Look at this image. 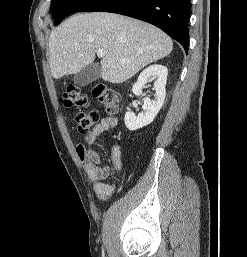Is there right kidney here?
Masks as SVG:
<instances>
[{
  "instance_id": "1",
  "label": "right kidney",
  "mask_w": 247,
  "mask_h": 257,
  "mask_svg": "<svg viewBox=\"0 0 247 257\" xmlns=\"http://www.w3.org/2000/svg\"><path fill=\"white\" fill-rule=\"evenodd\" d=\"M167 76V67L159 64H154L147 67L139 75L137 82L133 85L132 92L138 96H145V94H142L143 86L148 83L150 78H156V82L153 88L156 93L154 100H151L148 97L144 98V105L142 107L143 111L138 114L137 117L132 111L126 112L124 121L126 127L130 131L145 127L153 122L164 103Z\"/></svg>"
}]
</instances>
